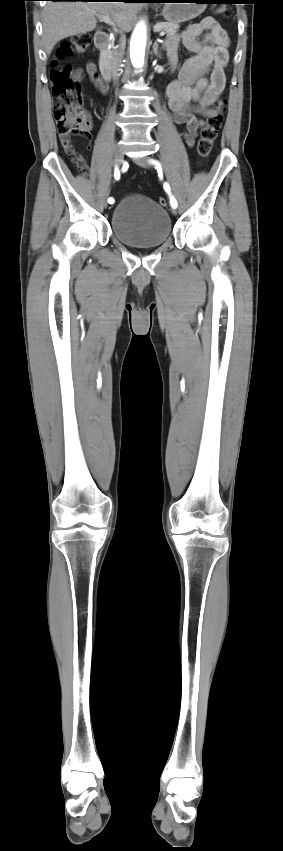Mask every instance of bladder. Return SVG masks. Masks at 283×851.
Masks as SVG:
<instances>
[{
  "label": "bladder",
  "mask_w": 283,
  "mask_h": 851,
  "mask_svg": "<svg viewBox=\"0 0 283 851\" xmlns=\"http://www.w3.org/2000/svg\"><path fill=\"white\" fill-rule=\"evenodd\" d=\"M113 235L135 248H153L164 243L171 233V220L164 207L143 195L119 201L111 215Z\"/></svg>",
  "instance_id": "1"
}]
</instances>
